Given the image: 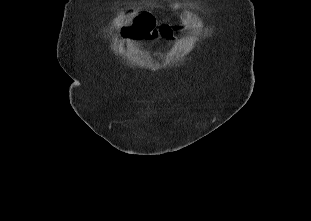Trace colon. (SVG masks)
<instances>
[{
	"label": "colon",
	"instance_id": "1",
	"mask_svg": "<svg viewBox=\"0 0 311 221\" xmlns=\"http://www.w3.org/2000/svg\"><path fill=\"white\" fill-rule=\"evenodd\" d=\"M139 18L143 22L137 26L131 25L129 28L131 32H124V39H137V32H140V39H155L160 32L156 29L154 15L149 10H143ZM124 30H127V27H124ZM162 30H164L168 36H172L173 34L172 27L169 24H163Z\"/></svg>",
	"mask_w": 311,
	"mask_h": 221
}]
</instances>
